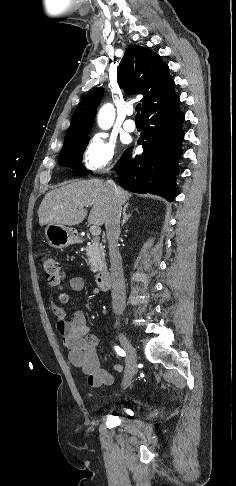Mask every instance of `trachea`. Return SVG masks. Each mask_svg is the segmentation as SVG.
Wrapping results in <instances>:
<instances>
[{
  "instance_id": "trachea-1",
  "label": "trachea",
  "mask_w": 236,
  "mask_h": 486,
  "mask_svg": "<svg viewBox=\"0 0 236 486\" xmlns=\"http://www.w3.org/2000/svg\"><path fill=\"white\" fill-rule=\"evenodd\" d=\"M140 110H141V105L137 104V106L135 107V111L137 112L136 119H141Z\"/></svg>"
}]
</instances>
